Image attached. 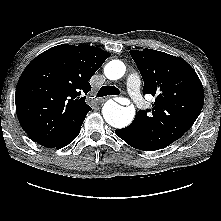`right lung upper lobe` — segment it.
<instances>
[{"label":"right lung upper lobe","mask_w":221,"mask_h":221,"mask_svg":"<svg viewBox=\"0 0 221 221\" xmlns=\"http://www.w3.org/2000/svg\"><path fill=\"white\" fill-rule=\"evenodd\" d=\"M110 53L89 45H58L38 55L16 87V113L23 130L44 147H57L81 128L90 111L89 80Z\"/></svg>","instance_id":"right-lung-upper-lobe-1"}]
</instances>
